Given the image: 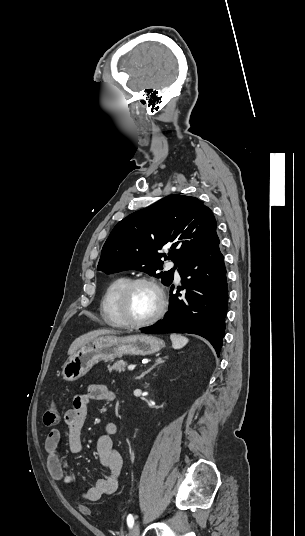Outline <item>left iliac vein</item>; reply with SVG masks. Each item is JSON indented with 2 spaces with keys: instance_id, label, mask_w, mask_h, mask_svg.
<instances>
[{
  "instance_id": "left-iliac-vein-1",
  "label": "left iliac vein",
  "mask_w": 305,
  "mask_h": 536,
  "mask_svg": "<svg viewBox=\"0 0 305 536\" xmlns=\"http://www.w3.org/2000/svg\"><path fill=\"white\" fill-rule=\"evenodd\" d=\"M139 531V521H136L130 530L129 536H139Z\"/></svg>"
}]
</instances>
